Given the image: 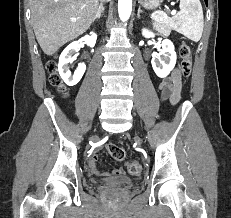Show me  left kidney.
Wrapping results in <instances>:
<instances>
[{
    "mask_svg": "<svg viewBox=\"0 0 231 218\" xmlns=\"http://www.w3.org/2000/svg\"><path fill=\"white\" fill-rule=\"evenodd\" d=\"M142 35L146 38H153L155 36L153 32L147 29L142 30ZM161 46V51L152 58L151 64L156 75L164 78L175 67L177 56L174 45L170 40H163Z\"/></svg>",
    "mask_w": 231,
    "mask_h": 218,
    "instance_id": "1",
    "label": "left kidney"
}]
</instances>
